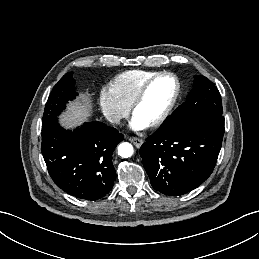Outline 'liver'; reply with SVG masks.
<instances>
[{
	"mask_svg": "<svg viewBox=\"0 0 259 259\" xmlns=\"http://www.w3.org/2000/svg\"><path fill=\"white\" fill-rule=\"evenodd\" d=\"M91 115V103L88 96L82 95V99L70 103L68 111L60 117V121L66 127H73L87 120Z\"/></svg>",
	"mask_w": 259,
	"mask_h": 259,
	"instance_id": "6515ba94",
	"label": "liver"
}]
</instances>
